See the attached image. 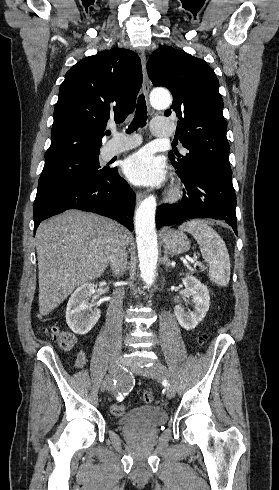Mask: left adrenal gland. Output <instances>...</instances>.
I'll return each instance as SVG.
<instances>
[{
  "label": "left adrenal gland",
  "instance_id": "left-adrenal-gland-1",
  "mask_svg": "<svg viewBox=\"0 0 279 490\" xmlns=\"http://www.w3.org/2000/svg\"><path fill=\"white\" fill-rule=\"evenodd\" d=\"M162 264H163V266H167V268H170L171 262L167 256V254H164V256L162 258Z\"/></svg>",
  "mask_w": 279,
  "mask_h": 490
}]
</instances>
